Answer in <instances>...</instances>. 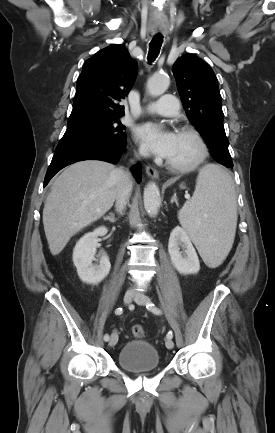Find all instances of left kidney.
I'll use <instances>...</instances> for the list:
<instances>
[{
  "instance_id": "1",
  "label": "left kidney",
  "mask_w": 275,
  "mask_h": 433,
  "mask_svg": "<svg viewBox=\"0 0 275 433\" xmlns=\"http://www.w3.org/2000/svg\"><path fill=\"white\" fill-rule=\"evenodd\" d=\"M168 251L171 261L181 274H195L200 270V263L187 232L176 226L169 238Z\"/></svg>"
}]
</instances>
